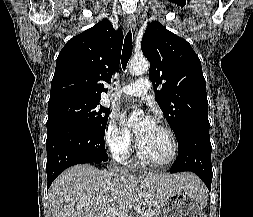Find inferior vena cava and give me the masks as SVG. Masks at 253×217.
Here are the masks:
<instances>
[{"mask_svg": "<svg viewBox=\"0 0 253 217\" xmlns=\"http://www.w3.org/2000/svg\"><path fill=\"white\" fill-rule=\"evenodd\" d=\"M109 171H111L113 173L124 174V175H127L129 172L127 168L117 166V164L114 160H111V162L109 164Z\"/></svg>", "mask_w": 253, "mask_h": 217, "instance_id": "1", "label": "inferior vena cava"}]
</instances>
